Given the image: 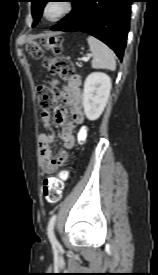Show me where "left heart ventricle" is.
Returning <instances> with one entry per match:
<instances>
[{"label":"left heart ventricle","instance_id":"left-heart-ventricle-1","mask_svg":"<svg viewBox=\"0 0 158 275\" xmlns=\"http://www.w3.org/2000/svg\"><path fill=\"white\" fill-rule=\"evenodd\" d=\"M62 10H63L62 3H60L59 1L54 2V3L50 4L49 7L47 8V16L49 18H53V17L59 15Z\"/></svg>","mask_w":158,"mask_h":275}]
</instances>
